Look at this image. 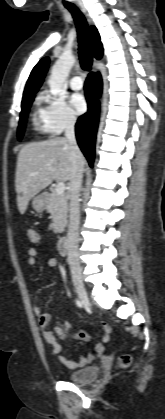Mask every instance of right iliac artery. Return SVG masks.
<instances>
[{"instance_id":"1","label":"right iliac artery","mask_w":165,"mask_h":419,"mask_svg":"<svg viewBox=\"0 0 165 419\" xmlns=\"http://www.w3.org/2000/svg\"><path fill=\"white\" fill-rule=\"evenodd\" d=\"M76 305L78 306V307H82V303H81V301L80 300H76Z\"/></svg>"}]
</instances>
